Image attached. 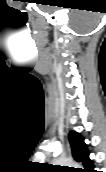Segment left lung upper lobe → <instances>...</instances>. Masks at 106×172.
I'll return each instance as SVG.
<instances>
[{
    "instance_id": "obj_1",
    "label": "left lung upper lobe",
    "mask_w": 106,
    "mask_h": 172,
    "mask_svg": "<svg viewBox=\"0 0 106 172\" xmlns=\"http://www.w3.org/2000/svg\"><path fill=\"white\" fill-rule=\"evenodd\" d=\"M69 140L74 159L78 162H83L84 164L85 169L82 171L94 172V166L92 161L88 157L89 152L82 136L75 131H71L69 134Z\"/></svg>"
}]
</instances>
